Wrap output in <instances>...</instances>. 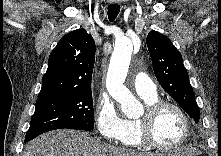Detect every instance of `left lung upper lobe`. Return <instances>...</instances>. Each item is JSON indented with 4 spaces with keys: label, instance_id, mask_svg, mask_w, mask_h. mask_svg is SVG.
I'll return each mask as SVG.
<instances>
[{
    "label": "left lung upper lobe",
    "instance_id": "1",
    "mask_svg": "<svg viewBox=\"0 0 221 156\" xmlns=\"http://www.w3.org/2000/svg\"><path fill=\"white\" fill-rule=\"evenodd\" d=\"M146 43L158 82L195 123H198L199 108L180 52L165 35L157 31H151L147 35Z\"/></svg>",
    "mask_w": 221,
    "mask_h": 156
}]
</instances>
